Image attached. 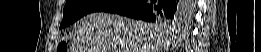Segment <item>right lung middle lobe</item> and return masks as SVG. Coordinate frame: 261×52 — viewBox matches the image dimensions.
Here are the masks:
<instances>
[{
	"label": "right lung middle lobe",
	"instance_id": "right-lung-middle-lobe-1",
	"mask_svg": "<svg viewBox=\"0 0 261 52\" xmlns=\"http://www.w3.org/2000/svg\"><path fill=\"white\" fill-rule=\"evenodd\" d=\"M116 3H118L116 0H67L63 9V20L60 28L69 26L84 15L103 11ZM182 5L187 11L190 10V1H182ZM182 21L183 17L180 16L175 19H157L155 22L162 23L165 28L173 29L177 23Z\"/></svg>",
	"mask_w": 261,
	"mask_h": 52
}]
</instances>
